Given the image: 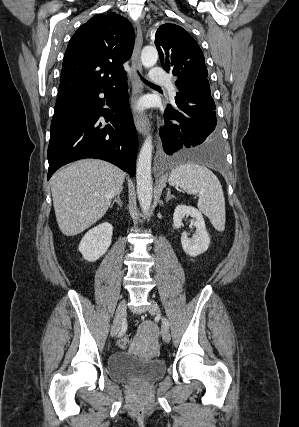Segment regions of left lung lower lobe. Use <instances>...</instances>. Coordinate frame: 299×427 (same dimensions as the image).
Returning a JSON list of instances; mask_svg holds the SVG:
<instances>
[{"instance_id": "0a47b994", "label": "left lung lower lobe", "mask_w": 299, "mask_h": 427, "mask_svg": "<svg viewBox=\"0 0 299 427\" xmlns=\"http://www.w3.org/2000/svg\"><path fill=\"white\" fill-rule=\"evenodd\" d=\"M215 109L205 101L178 92L175 103L165 109V125L160 130L165 154L172 156V160L222 165Z\"/></svg>"}]
</instances>
